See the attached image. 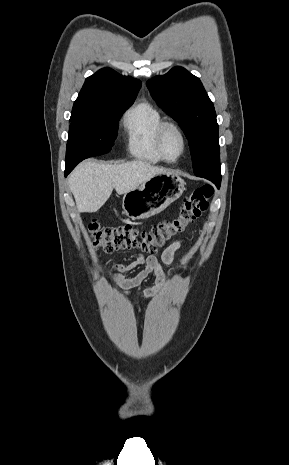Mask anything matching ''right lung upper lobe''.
<instances>
[{
  "label": "right lung upper lobe",
  "instance_id": "obj_1",
  "mask_svg": "<svg viewBox=\"0 0 289 465\" xmlns=\"http://www.w3.org/2000/svg\"><path fill=\"white\" fill-rule=\"evenodd\" d=\"M140 87L139 80L121 76L110 68L101 69L85 80L70 119H96L97 113L110 103L134 101Z\"/></svg>",
  "mask_w": 289,
  "mask_h": 465
}]
</instances>
